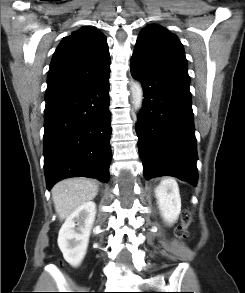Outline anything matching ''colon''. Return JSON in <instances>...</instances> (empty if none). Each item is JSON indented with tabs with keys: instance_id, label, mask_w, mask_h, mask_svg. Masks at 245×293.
I'll return each mask as SVG.
<instances>
[{
	"instance_id": "1",
	"label": "colon",
	"mask_w": 245,
	"mask_h": 293,
	"mask_svg": "<svg viewBox=\"0 0 245 293\" xmlns=\"http://www.w3.org/2000/svg\"><path fill=\"white\" fill-rule=\"evenodd\" d=\"M190 222H191V216L190 214L186 213L183 217V221L181 225H179L176 229L175 235L177 239H184L188 236L187 226L190 224Z\"/></svg>"
}]
</instances>
